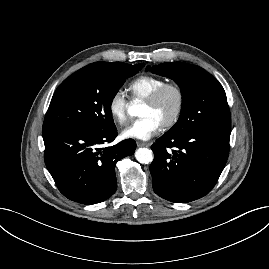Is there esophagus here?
Wrapping results in <instances>:
<instances>
[{
  "instance_id": "1",
  "label": "esophagus",
  "mask_w": 269,
  "mask_h": 269,
  "mask_svg": "<svg viewBox=\"0 0 269 269\" xmlns=\"http://www.w3.org/2000/svg\"><path fill=\"white\" fill-rule=\"evenodd\" d=\"M137 146H138V147H148L149 144L146 143V142L137 141Z\"/></svg>"
}]
</instances>
